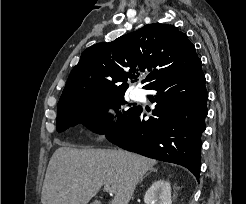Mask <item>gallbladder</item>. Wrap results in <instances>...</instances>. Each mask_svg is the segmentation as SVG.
<instances>
[{"label":"gallbladder","instance_id":"bac80fb5","mask_svg":"<svg viewBox=\"0 0 246 204\" xmlns=\"http://www.w3.org/2000/svg\"><path fill=\"white\" fill-rule=\"evenodd\" d=\"M90 204H100V203L98 201H94V202H92Z\"/></svg>","mask_w":246,"mask_h":204}]
</instances>
